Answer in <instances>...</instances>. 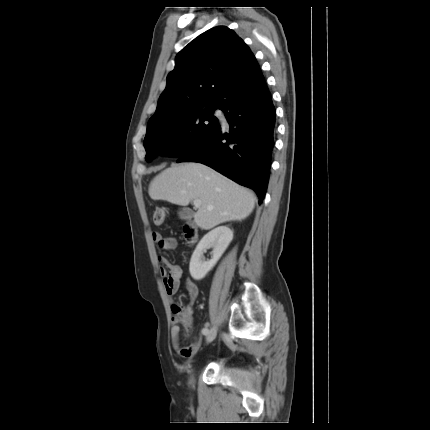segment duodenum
<instances>
[{
  "mask_svg": "<svg viewBox=\"0 0 430 430\" xmlns=\"http://www.w3.org/2000/svg\"><path fill=\"white\" fill-rule=\"evenodd\" d=\"M183 234L188 243H194L197 239V229L191 222H186L184 224Z\"/></svg>",
  "mask_w": 430,
  "mask_h": 430,
  "instance_id": "obj_1",
  "label": "duodenum"
}]
</instances>
